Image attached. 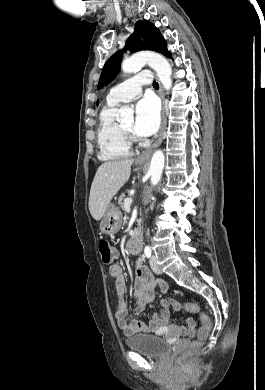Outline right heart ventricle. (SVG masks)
I'll use <instances>...</instances> for the list:
<instances>
[{
    "mask_svg": "<svg viewBox=\"0 0 265 390\" xmlns=\"http://www.w3.org/2000/svg\"><path fill=\"white\" fill-rule=\"evenodd\" d=\"M117 109L118 104L107 101L100 112L97 132L98 156L104 161L123 159L130 154L131 146L121 130V125L116 121Z\"/></svg>",
    "mask_w": 265,
    "mask_h": 390,
    "instance_id": "1",
    "label": "right heart ventricle"
}]
</instances>
